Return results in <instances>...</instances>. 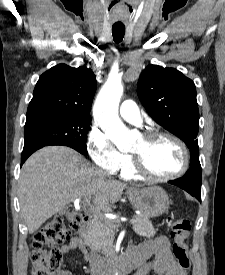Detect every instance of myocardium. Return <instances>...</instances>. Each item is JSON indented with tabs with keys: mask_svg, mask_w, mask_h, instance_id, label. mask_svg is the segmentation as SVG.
<instances>
[{
	"mask_svg": "<svg viewBox=\"0 0 225 275\" xmlns=\"http://www.w3.org/2000/svg\"><path fill=\"white\" fill-rule=\"evenodd\" d=\"M143 138L147 142H153L157 139L165 138L173 141L177 146L180 148L183 161L181 167L174 173L169 174V175H156L151 173L145 166L143 156L140 154H136L132 152V167L136 174L140 177H143L145 179L151 180V181H170L173 179H176L180 176H182L188 169L189 163H190V157H189V152L188 149L185 145V143L178 138L177 136L166 133V132H161V131H151L147 132L143 135Z\"/></svg>",
	"mask_w": 225,
	"mask_h": 275,
	"instance_id": "obj_1",
	"label": "myocardium"
}]
</instances>
